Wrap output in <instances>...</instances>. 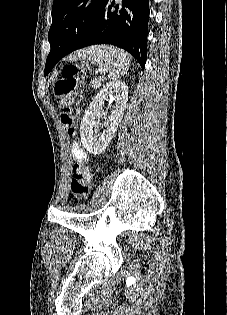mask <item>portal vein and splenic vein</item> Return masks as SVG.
Wrapping results in <instances>:
<instances>
[{"instance_id": "portal-vein-and-splenic-vein-1", "label": "portal vein and splenic vein", "mask_w": 227, "mask_h": 315, "mask_svg": "<svg viewBox=\"0 0 227 315\" xmlns=\"http://www.w3.org/2000/svg\"><path fill=\"white\" fill-rule=\"evenodd\" d=\"M92 85L99 86V85H100L99 79L94 80V81L92 82Z\"/></svg>"}]
</instances>
